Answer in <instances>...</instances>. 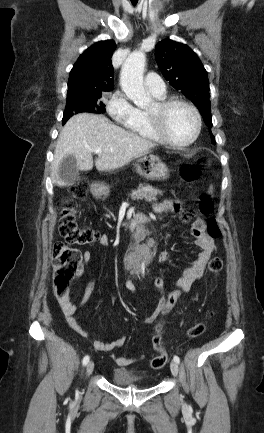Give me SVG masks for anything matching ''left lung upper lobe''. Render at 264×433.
Wrapping results in <instances>:
<instances>
[{
    "label": "left lung upper lobe",
    "mask_w": 264,
    "mask_h": 433,
    "mask_svg": "<svg viewBox=\"0 0 264 433\" xmlns=\"http://www.w3.org/2000/svg\"><path fill=\"white\" fill-rule=\"evenodd\" d=\"M155 52L164 78L197 106L206 125L211 129L209 81L207 71L196 53L187 45L170 39L158 42ZM209 132L214 142L211 130Z\"/></svg>",
    "instance_id": "left-lung-upper-lobe-1"
}]
</instances>
